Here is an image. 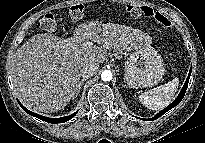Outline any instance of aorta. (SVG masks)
I'll list each match as a JSON object with an SVG mask.
<instances>
[{
	"label": "aorta",
	"instance_id": "762f6f07",
	"mask_svg": "<svg viewBox=\"0 0 205 143\" xmlns=\"http://www.w3.org/2000/svg\"><path fill=\"white\" fill-rule=\"evenodd\" d=\"M101 79L105 82L110 81L112 79V72L110 70H104L101 73Z\"/></svg>",
	"mask_w": 205,
	"mask_h": 143
}]
</instances>
